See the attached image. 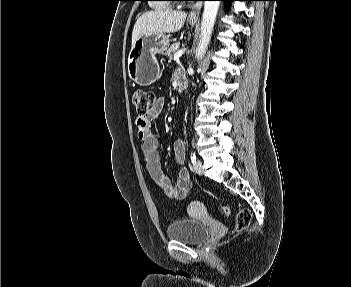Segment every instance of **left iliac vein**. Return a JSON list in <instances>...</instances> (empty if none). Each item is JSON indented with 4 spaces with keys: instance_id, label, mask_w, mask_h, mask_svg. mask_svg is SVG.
Returning a JSON list of instances; mask_svg holds the SVG:
<instances>
[{
    "instance_id": "4c4485c4",
    "label": "left iliac vein",
    "mask_w": 351,
    "mask_h": 287,
    "mask_svg": "<svg viewBox=\"0 0 351 287\" xmlns=\"http://www.w3.org/2000/svg\"><path fill=\"white\" fill-rule=\"evenodd\" d=\"M193 168L196 174L201 175L203 168H202V161L201 160H196L193 164Z\"/></svg>"
}]
</instances>
